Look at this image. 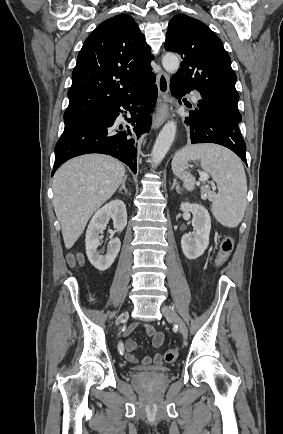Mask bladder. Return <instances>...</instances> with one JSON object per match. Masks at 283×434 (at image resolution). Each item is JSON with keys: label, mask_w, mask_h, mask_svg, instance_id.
Segmentation results:
<instances>
[{"label": "bladder", "mask_w": 283, "mask_h": 434, "mask_svg": "<svg viewBox=\"0 0 283 434\" xmlns=\"http://www.w3.org/2000/svg\"><path fill=\"white\" fill-rule=\"evenodd\" d=\"M134 373L137 374H146L151 376L161 375L167 371V369H147L142 367H136L133 369Z\"/></svg>", "instance_id": "bladder-1"}]
</instances>
